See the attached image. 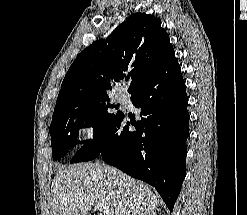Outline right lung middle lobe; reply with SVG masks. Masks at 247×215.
Wrapping results in <instances>:
<instances>
[{"mask_svg": "<svg viewBox=\"0 0 247 215\" xmlns=\"http://www.w3.org/2000/svg\"><path fill=\"white\" fill-rule=\"evenodd\" d=\"M108 101V95L96 96L62 108L53 114L49 132L54 160L64 157L71 148L81 143L77 137L83 124L91 125L94 128V136H97L122 114L120 111L112 113L111 108L118 107Z\"/></svg>", "mask_w": 247, "mask_h": 215, "instance_id": "1", "label": "right lung middle lobe"}]
</instances>
